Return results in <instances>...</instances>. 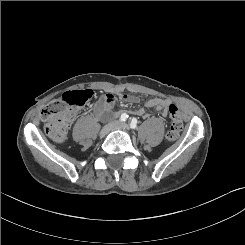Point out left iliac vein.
Masks as SVG:
<instances>
[{
    "label": "left iliac vein",
    "mask_w": 245,
    "mask_h": 245,
    "mask_svg": "<svg viewBox=\"0 0 245 245\" xmlns=\"http://www.w3.org/2000/svg\"><path fill=\"white\" fill-rule=\"evenodd\" d=\"M116 127L119 129H123V130L128 129V125L126 123H121V124L117 125Z\"/></svg>",
    "instance_id": "4c4485c4"
}]
</instances>
